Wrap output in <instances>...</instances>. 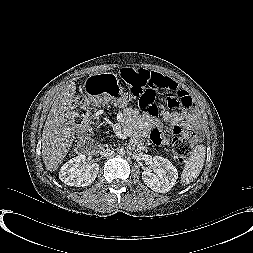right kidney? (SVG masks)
<instances>
[{
    "label": "right kidney",
    "instance_id": "right-kidney-1",
    "mask_svg": "<svg viewBox=\"0 0 253 253\" xmlns=\"http://www.w3.org/2000/svg\"><path fill=\"white\" fill-rule=\"evenodd\" d=\"M99 172V164H87L85 155H79L63 164L59 178L69 186L84 187L90 185Z\"/></svg>",
    "mask_w": 253,
    "mask_h": 253
}]
</instances>
